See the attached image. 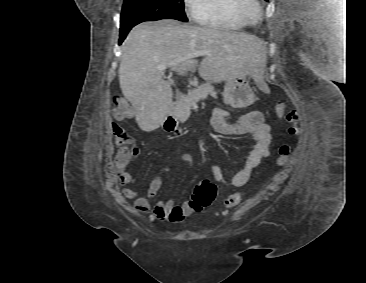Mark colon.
Here are the masks:
<instances>
[{
    "instance_id": "colon-1",
    "label": "colon",
    "mask_w": 366,
    "mask_h": 283,
    "mask_svg": "<svg viewBox=\"0 0 366 283\" xmlns=\"http://www.w3.org/2000/svg\"><path fill=\"white\" fill-rule=\"evenodd\" d=\"M275 112L280 120L284 119L290 123L288 132L291 135L298 132V114L295 110L289 109L285 103L279 102L275 107ZM130 114L131 109L126 100L124 98H117L112 109L113 117L120 121L128 118ZM112 134L116 145L119 147L118 153L116 155V163L118 165L125 166L137 155V146L133 143L127 131L118 124L113 125ZM290 153L291 149L288 145L284 144L280 146L278 149V165H285L289 159ZM216 191V185L211 181L206 179L200 181L197 184L189 202V206L192 211L200 212L203 208L209 206L215 198ZM242 198L243 193H234L226 199L225 206L227 208H233L241 202Z\"/></svg>"
}]
</instances>
